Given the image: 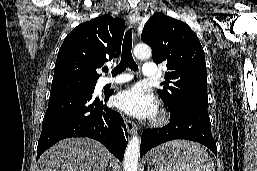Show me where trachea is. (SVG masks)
I'll list each match as a JSON object with an SVG mask.
<instances>
[{
    "label": "trachea",
    "instance_id": "1",
    "mask_svg": "<svg viewBox=\"0 0 257 171\" xmlns=\"http://www.w3.org/2000/svg\"><path fill=\"white\" fill-rule=\"evenodd\" d=\"M131 49H132V33H131V30H127L123 40L121 61L119 65L112 70L113 76H116L122 73L123 71H125L126 68H130L133 71L138 70V66L136 65L133 59ZM104 71L108 72V68H104Z\"/></svg>",
    "mask_w": 257,
    "mask_h": 171
}]
</instances>
